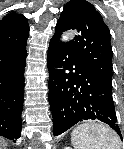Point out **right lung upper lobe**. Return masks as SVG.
<instances>
[{"instance_id": "cb5924a9", "label": "right lung upper lobe", "mask_w": 124, "mask_h": 149, "mask_svg": "<svg viewBox=\"0 0 124 149\" xmlns=\"http://www.w3.org/2000/svg\"><path fill=\"white\" fill-rule=\"evenodd\" d=\"M29 26L21 14H10L0 21V48L17 46L27 41Z\"/></svg>"}]
</instances>
